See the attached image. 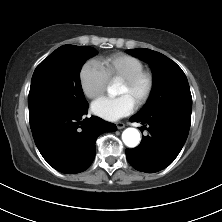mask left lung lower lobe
Segmentation results:
<instances>
[{"label":"left lung lower lobe","mask_w":222,"mask_h":222,"mask_svg":"<svg viewBox=\"0 0 222 222\" xmlns=\"http://www.w3.org/2000/svg\"><path fill=\"white\" fill-rule=\"evenodd\" d=\"M131 122L147 124L150 135L140 146L126 149V158L138 171L154 173L170 165L181 151L191 124V112L166 106L149 113H137Z\"/></svg>","instance_id":"1"}]
</instances>
